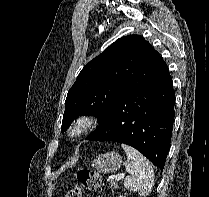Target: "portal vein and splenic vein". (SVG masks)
Returning <instances> with one entry per match:
<instances>
[{"label": "portal vein and splenic vein", "mask_w": 209, "mask_h": 197, "mask_svg": "<svg viewBox=\"0 0 209 197\" xmlns=\"http://www.w3.org/2000/svg\"><path fill=\"white\" fill-rule=\"evenodd\" d=\"M124 177H125L124 174H118V175L115 176V180L119 181V180H122Z\"/></svg>", "instance_id": "18ae733b"}]
</instances>
